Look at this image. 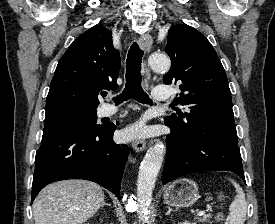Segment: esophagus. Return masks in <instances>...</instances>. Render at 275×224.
I'll return each instance as SVG.
<instances>
[{
    "label": "esophagus",
    "instance_id": "34e87169",
    "mask_svg": "<svg viewBox=\"0 0 275 224\" xmlns=\"http://www.w3.org/2000/svg\"><path fill=\"white\" fill-rule=\"evenodd\" d=\"M138 43L141 49H144L146 52H149L152 47L153 40L148 33H145L139 37ZM142 73L144 77L148 75V69L145 63H143L142 65ZM132 147L136 152H142L146 147V141L144 139H136L133 141Z\"/></svg>",
    "mask_w": 275,
    "mask_h": 224
}]
</instances>
